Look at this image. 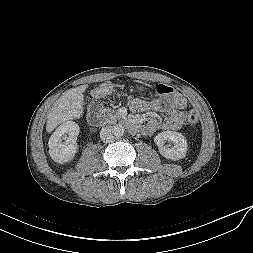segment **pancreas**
<instances>
[{"label":"pancreas","mask_w":253,"mask_h":253,"mask_svg":"<svg viewBox=\"0 0 253 253\" xmlns=\"http://www.w3.org/2000/svg\"><path fill=\"white\" fill-rule=\"evenodd\" d=\"M102 117L106 124H115L119 119V116L117 114H114L113 110L108 108L103 109Z\"/></svg>","instance_id":"obj_1"}]
</instances>
